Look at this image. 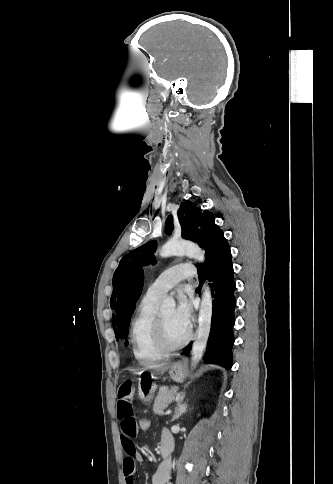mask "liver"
I'll return each mask as SVG.
<instances>
[{
    "instance_id": "1",
    "label": "liver",
    "mask_w": 333,
    "mask_h": 484,
    "mask_svg": "<svg viewBox=\"0 0 333 484\" xmlns=\"http://www.w3.org/2000/svg\"><path fill=\"white\" fill-rule=\"evenodd\" d=\"M170 363L169 362H165V363H161V364H151V365H148L144 368H142V372L146 371V370H152L154 373H164L168 370V368L170 367Z\"/></svg>"
}]
</instances>
